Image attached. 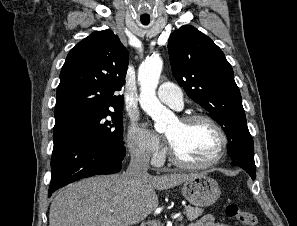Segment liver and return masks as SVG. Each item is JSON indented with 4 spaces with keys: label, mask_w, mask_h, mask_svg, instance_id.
<instances>
[{
    "label": "liver",
    "mask_w": 297,
    "mask_h": 226,
    "mask_svg": "<svg viewBox=\"0 0 297 226\" xmlns=\"http://www.w3.org/2000/svg\"><path fill=\"white\" fill-rule=\"evenodd\" d=\"M195 174L151 176L137 182L124 174L102 175L68 185L52 201L49 226H130L158 206L157 190H165Z\"/></svg>",
    "instance_id": "liver-1"
}]
</instances>
